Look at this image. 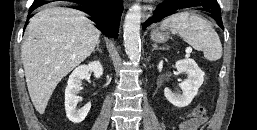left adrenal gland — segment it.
Returning a JSON list of instances; mask_svg holds the SVG:
<instances>
[{
    "label": "left adrenal gland",
    "mask_w": 257,
    "mask_h": 130,
    "mask_svg": "<svg viewBox=\"0 0 257 130\" xmlns=\"http://www.w3.org/2000/svg\"><path fill=\"white\" fill-rule=\"evenodd\" d=\"M152 46H153L152 51H154V50H162V49H164V48H159V47L157 46V44H153Z\"/></svg>",
    "instance_id": "obj_1"
}]
</instances>
